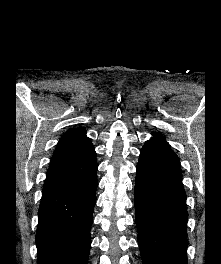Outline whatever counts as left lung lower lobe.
Segmentation results:
<instances>
[{
	"label": "left lung lower lobe",
	"mask_w": 221,
	"mask_h": 264,
	"mask_svg": "<svg viewBox=\"0 0 221 264\" xmlns=\"http://www.w3.org/2000/svg\"><path fill=\"white\" fill-rule=\"evenodd\" d=\"M134 204L143 264H188L180 160L160 141L151 139L140 151Z\"/></svg>",
	"instance_id": "left-lung-lower-lobe-1"
}]
</instances>
